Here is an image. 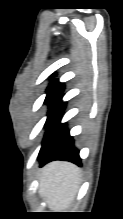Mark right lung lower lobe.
Returning <instances> with one entry per match:
<instances>
[{
    "label": "right lung lower lobe",
    "mask_w": 123,
    "mask_h": 219,
    "mask_svg": "<svg viewBox=\"0 0 123 219\" xmlns=\"http://www.w3.org/2000/svg\"><path fill=\"white\" fill-rule=\"evenodd\" d=\"M65 105L66 103L60 99L49 111L45 124L47 133L38 156L41 165L53 160H66L81 164L79 151L73 146V139L66 129V124L60 123Z\"/></svg>",
    "instance_id": "98d812e1"
}]
</instances>
